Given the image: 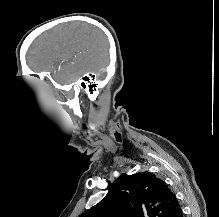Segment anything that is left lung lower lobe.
<instances>
[{
  "label": "left lung lower lobe",
  "mask_w": 219,
  "mask_h": 217,
  "mask_svg": "<svg viewBox=\"0 0 219 217\" xmlns=\"http://www.w3.org/2000/svg\"><path fill=\"white\" fill-rule=\"evenodd\" d=\"M175 217H183V213L181 208L179 209V211L176 213Z\"/></svg>",
  "instance_id": "0a47b994"
}]
</instances>
